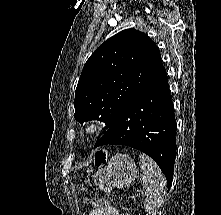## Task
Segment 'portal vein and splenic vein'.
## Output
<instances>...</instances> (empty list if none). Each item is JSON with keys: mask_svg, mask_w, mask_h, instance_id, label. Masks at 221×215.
Returning <instances> with one entry per match:
<instances>
[{"mask_svg": "<svg viewBox=\"0 0 221 215\" xmlns=\"http://www.w3.org/2000/svg\"><path fill=\"white\" fill-rule=\"evenodd\" d=\"M140 191L138 190V191H136V193L138 194Z\"/></svg>", "mask_w": 221, "mask_h": 215, "instance_id": "18ae733b", "label": "portal vein and splenic vein"}]
</instances>
